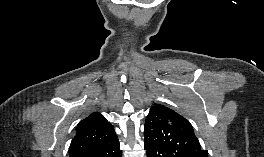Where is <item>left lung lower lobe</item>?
Segmentation results:
<instances>
[{"instance_id":"left-lung-lower-lobe-1","label":"left lung lower lobe","mask_w":264,"mask_h":157,"mask_svg":"<svg viewBox=\"0 0 264 157\" xmlns=\"http://www.w3.org/2000/svg\"><path fill=\"white\" fill-rule=\"evenodd\" d=\"M144 148L147 151V157H160L159 156L160 153L155 148L147 145H145Z\"/></svg>"}]
</instances>
